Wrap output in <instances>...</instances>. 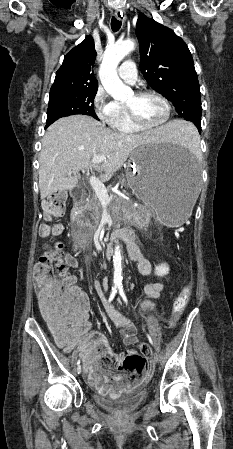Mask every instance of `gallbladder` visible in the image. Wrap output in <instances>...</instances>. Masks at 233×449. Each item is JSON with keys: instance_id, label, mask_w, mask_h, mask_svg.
Wrapping results in <instances>:
<instances>
[{"instance_id": "obj_1", "label": "gallbladder", "mask_w": 233, "mask_h": 449, "mask_svg": "<svg viewBox=\"0 0 233 449\" xmlns=\"http://www.w3.org/2000/svg\"><path fill=\"white\" fill-rule=\"evenodd\" d=\"M58 195H59V197H61V198H64V197L66 196L64 192H59Z\"/></svg>"}]
</instances>
